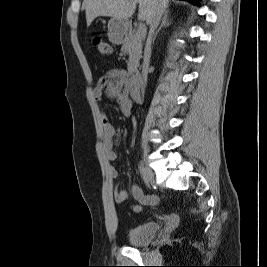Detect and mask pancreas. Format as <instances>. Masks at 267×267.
Instances as JSON below:
<instances>
[{
	"label": "pancreas",
	"mask_w": 267,
	"mask_h": 267,
	"mask_svg": "<svg viewBox=\"0 0 267 267\" xmlns=\"http://www.w3.org/2000/svg\"><path fill=\"white\" fill-rule=\"evenodd\" d=\"M121 51L129 55L128 72L130 74L136 72L142 57V39L138 38L135 32H129L123 41Z\"/></svg>",
	"instance_id": "obj_1"
}]
</instances>
